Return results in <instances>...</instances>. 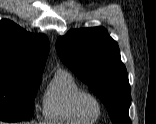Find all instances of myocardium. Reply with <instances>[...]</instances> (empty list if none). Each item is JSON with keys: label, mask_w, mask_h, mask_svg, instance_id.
Masks as SVG:
<instances>
[{"label": "myocardium", "mask_w": 156, "mask_h": 124, "mask_svg": "<svg viewBox=\"0 0 156 124\" xmlns=\"http://www.w3.org/2000/svg\"><path fill=\"white\" fill-rule=\"evenodd\" d=\"M87 99H91L97 104V107H98L97 115L95 116L88 115L85 109V101ZM75 104H76V108L78 112L85 118H98L103 111L102 100L96 94L89 92V91H81L76 97Z\"/></svg>", "instance_id": "1"}]
</instances>
